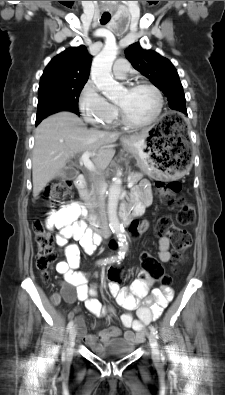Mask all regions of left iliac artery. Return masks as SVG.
Here are the masks:
<instances>
[{"label": "left iliac artery", "mask_w": 225, "mask_h": 395, "mask_svg": "<svg viewBox=\"0 0 225 395\" xmlns=\"http://www.w3.org/2000/svg\"><path fill=\"white\" fill-rule=\"evenodd\" d=\"M150 330H151V332L154 334V335H156V337H157V329L154 327V326H150Z\"/></svg>", "instance_id": "obj_1"}]
</instances>
